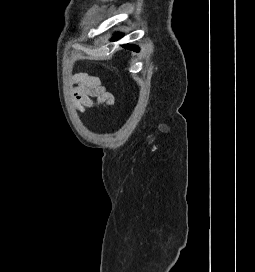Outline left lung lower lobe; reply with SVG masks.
Returning <instances> with one entry per match:
<instances>
[{
	"mask_svg": "<svg viewBox=\"0 0 255 272\" xmlns=\"http://www.w3.org/2000/svg\"><path fill=\"white\" fill-rule=\"evenodd\" d=\"M121 37V34H118L116 35L112 41H115L117 38H120ZM126 49H130V50H133V51H138V47L134 46L133 48L131 47V45H125L124 46Z\"/></svg>",
	"mask_w": 255,
	"mask_h": 272,
	"instance_id": "obj_1",
	"label": "left lung lower lobe"
}]
</instances>
